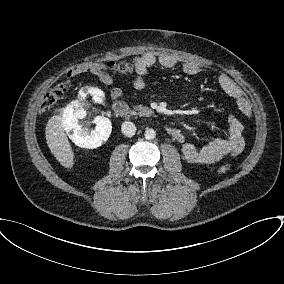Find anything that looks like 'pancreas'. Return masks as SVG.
Segmentation results:
<instances>
[{"instance_id":"1","label":"pancreas","mask_w":284,"mask_h":284,"mask_svg":"<svg viewBox=\"0 0 284 284\" xmlns=\"http://www.w3.org/2000/svg\"><path fill=\"white\" fill-rule=\"evenodd\" d=\"M134 110L138 111L137 114H139V116L149 117L153 114V111L150 108L143 105L134 106Z\"/></svg>"}]
</instances>
